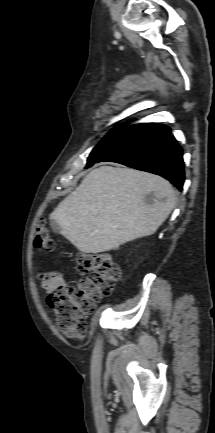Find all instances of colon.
Listing matches in <instances>:
<instances>
[{"mask_svg": "<svg viewBox=\"0 0 215 433\" xmlns=\"http://www.w3.org/2000/svg\"><path fill=\"white\" fill-rule=\"evenodd\" d=\"M34 246L44 251L54 249L44 220L36 225ZM76 272L83 278L52 292L48 305L65 335L82 338L87 332L88 316L94 312L97 302L111 293L120 278V269L110 253L97 252L80 254L76 259Z\"/></svg>", "mask_w": 215, "mask_h": 433, "instance_id": "colon-1", "label": "colon"}]
</instances>
